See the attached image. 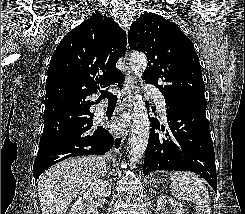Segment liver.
<instances>
[{"mask_svg":"<svg viewBox=\"0 0 245 214\" xmlns=\"http://www.w3.org/2000/svg\"><path fill=\"white\" fill-rule=\"evenodd\" d=\"M107 169L103 157L67 159L46 170L38 180L42 214H65L72 201L86 192Z\"/></svg>","mask_w":245,"mask_h":214,"instance_id":"liver-1","label":"liver"}]
</instances>
